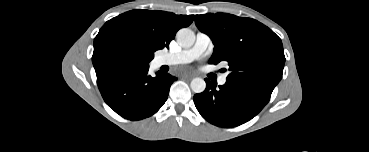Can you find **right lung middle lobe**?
<instances>
[{
  "label": "right lung middle lobe",
  "instance_id": "obj_1",
  "mask_svg": "<svg viewBox=\"0 0 369 152\" xmlns=\"http://www.w3.org/2000/svg\"><path fill=\"white\" fill-rule=\"evenodd\" d=\"M92 61L97 81H102L124 71L147 68L151 60L132 49L123 48L116 52L93 54Z\"/></svg>",
  "mask_w": 369,
  "mask_h": 152
}]
</instances>
